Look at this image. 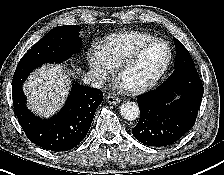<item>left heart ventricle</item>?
Segmentation results:
<instances>
[{
	"mask_svg": "<svg viewBox=\"0 0 224 175\" xmlns=\"http://www.w3.org/2000/svg\"><path fill=\"white\" fill-rule=\"evenodd\" d=\"M166 57L167 48L164 44L159 43L149 47L122 75V85L129 87L149 80L161 68Z\"/></svg>",
	"mask_w": 224,
	"mask_h": 175,
	"instance_id": "left-heart-ventricle-1",
	"label": "left heart ventricle"
}]
</instances>
